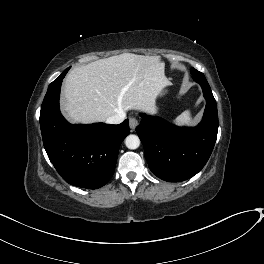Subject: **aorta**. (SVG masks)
I'll return each instance as SVG.
<instances>
[{
  "label": "aorta",
  "mask_w": 264,
  "mask_h": 264,
  "mask_svg": "<svg viewBox=\"0 0 264 264\" xmlns=\"http://www.w3.org/2000/svg\"><path fill=\"white\" fill-rule=\"evenodd\" d=\"M125 145L128 149H137L140 145V139L138 136L130 134L125 139Z\"/></svg>",
  "instance_id": "1"
}]
</instances>
